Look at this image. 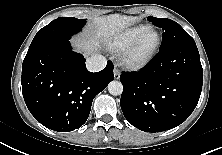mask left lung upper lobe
Listing matches in <instances>:
<instances>
[{"label":"left lung upper lobe","instance_id":"5c2ea615","mask_svg":"<svg viewBox=\"0 0 222 155\" xmlns=\"http://www.w3.org/2000/svg\"><path fill=\"white\" fill-rule=\"evenodd\" d=\"M147 19L163 30L160 49L183 44L196 45L194 39L175 21L156 17Z\"/></svg>","mask_w":222,"mask_h":155}]
</instances>
